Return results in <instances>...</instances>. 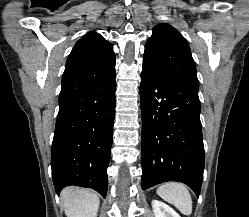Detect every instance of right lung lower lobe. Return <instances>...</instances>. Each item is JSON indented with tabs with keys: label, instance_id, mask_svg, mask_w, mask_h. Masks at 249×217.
<instances>
[{
	"label": "right lung lower lobe",
	"instance_id": "1",
	"mask_svg": "<svg viewBox=\"0 0 249 217\" xmlns=\"http://www.w3.org/2000/svg\"><path fill=\"white\" fill-rule=\"evenodd\" d=\"M115 56L102 64L65 69L52 143L57 194L68 185L106 197L115 117Z\"/></svg>",
	"mask_w": 249,
	"mask_h": 217
}]
</instances>
